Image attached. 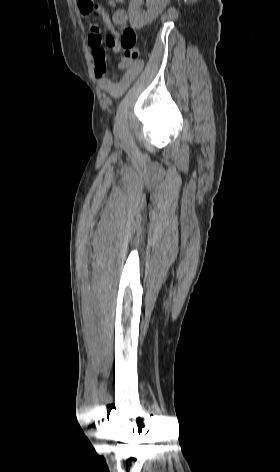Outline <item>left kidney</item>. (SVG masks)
Segmentation results:
<instances>
[{
    "mask_svg": "<svg viewBox=\"0 0 280 472\" xmlns=\"http://www.w3.org/2000/svg\"><path fill=\"white\" fill-rule=\"evenodd\" d=\"M143 0H131L128 8L130 25L134 29H140L151 23L162 11L164 0H147L146 12H140L139 7Z\"/></svg>",
    "mask_w": 280,
    "mask_h": 472,
    "instance_id": "left-kidney-1",
    "label": "left kidney"
}]
</instances>
